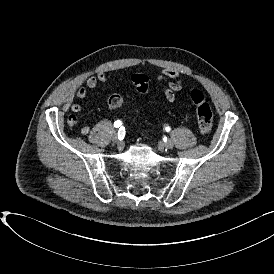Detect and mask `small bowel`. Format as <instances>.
Returning a JSON list of instances; mask_svg holds the SVG:
<instances>
[{"label":"small bowel","mask_w":274,"mask_h":274,"mask_svg":"<svg viewBox=\"0 0 274 274\" xmlns=\"http://www.w3.org/2000/svg\"><path fill=\"white\" fill-rule=\"evenodd\" d=\"M110 81L109 75L100 71L95 75L89 76L84 85L80 86L76 91V98L83 100L87 97L88 90L95 89L100 83H108ZM159 85L162 87L163 95L167 102L175 103L177 100V93L183 94L186 90V85L183 81L182 74L175 69L163 68L160 70L157 77ZM71 110L74 113H78L81 110V104L75 101L71 105ZM82 134H88L90 131V125L84 123L80 127Z\"/></svg>","instance_id":"small-bowel-1"}]
</instances>
